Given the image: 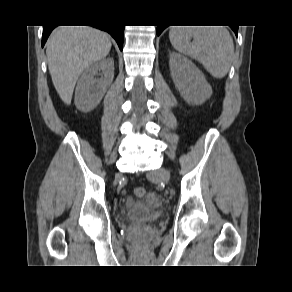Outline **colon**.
<instances>
[{"instance_id": "5ec220e1", "label": "colon", "mask_w": 292, "mask_h": 292, "mask_svg": "<svg viewBox=\"0 0 292 292\" xmlns=\"http://www.w3.org/2000/svg\"><path fill=\"white\" fill-rule=\"evenodd\" d=\"M146 194V189L144 187H136L134 189V195L136 197H143Z\"/></svg>"}]
</instances>
